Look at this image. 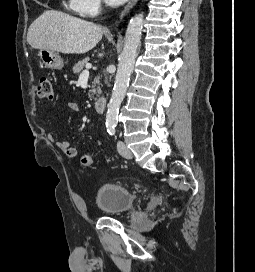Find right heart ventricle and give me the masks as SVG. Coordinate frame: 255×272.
Segmentation results:
<instances>
[{"label":"right heart ventricle","instance_id":"obj_1","mask_svg":"<svg viewBox=\"0 0 255 272\" xmlns=\"http://www.w3.org/2000/svg\"><path fill=\"white\" fill-rule=\"evenodd\" d=\"M67 6L73 10V0H68L67 1Z\"/></svg>","mask_w":255,"mask_h":272}]
</instances>
